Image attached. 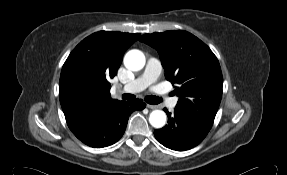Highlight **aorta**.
Instances as JSON below:
<instances>
[{"label": "aorta", "instance_id": "aorta-1", "mask_svg": "<svg viewBox=\"0 0 287 175\" xmlns=\"http://www.w3.org/2000/svg\"><path fill=\"white\" fill-rule=\"evenodd\" d=\"M145 55L137 49L130 50L124 57V65L131 71H139L145 66ZM149 122L154 128H162L166 123V114L162 110L150 113Z\"/></svg>", "mask_w": 287, "mask_h": 175}]
</instances>
